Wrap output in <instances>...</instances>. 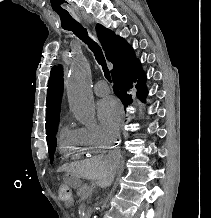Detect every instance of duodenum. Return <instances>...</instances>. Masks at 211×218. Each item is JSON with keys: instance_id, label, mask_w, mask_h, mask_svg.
<instances>
[{"instance_id": "410a0bca", "label": "duodenum", "mask_w": 211, "mask_h": 218, "mask_svg": "<svg viewBox=\"0 0 211 218\" xmlns=\"http://www.w3.org/2000/svg\"><path fill=\"white\" fill-rule=\"evenodd\" d=\"M93 214V210L88 208L85 210V218H90Z\"/></svg>"}]
</instances>
